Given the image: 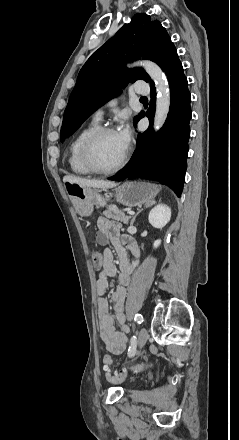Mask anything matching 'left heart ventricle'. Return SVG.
Masks as SVG:
<instances>
[{"instance_id": "left-heart-ventricle-1", "label": "left heart ventricle", "mask_w": 239, "mask_h": 440, "mask_svg": "<svg viewBox=\"0 0 239 440\" xmlns=\"http://www.w3.org/2000/svg\"><path fill=\"white\" fill-rule=\"evenodd\" d=\"M126 148L117 132L108 133L96 142L92 157L99 167L110 169L118 164Z\"/></svg>"}]
</instances>
